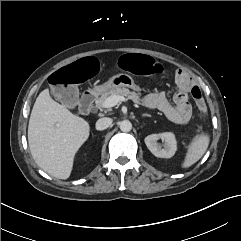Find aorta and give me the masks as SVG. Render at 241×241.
<instances>
[{"mask_svg":"<svg viewBox=\"0 0 241 241\" xmlns=\"http://www.w3.org/2000/svg\"><path fill=\"white\" fill-rule=\"evenodd\" d=\"M119 127L122 132H129L132 129V123L129 120H123L120 122Z\"/></svg>","mask_w":241,"mask_h":241,"instance_id":"obj_1","label":"aorta"}]
</instances>
